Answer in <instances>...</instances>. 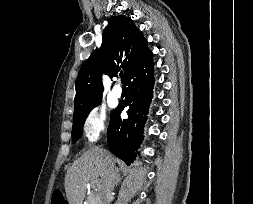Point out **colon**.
I'll use <instances>...</instances> for the list:
<instances>
[{
    "mask_svg": "<svg viewBox=\"0 0 253 204\" xmlns=\"http://www.w3.org/2000/svg\"><path fill=\"white\" fill-rule=\"evenodd\" d=\"M64 196L61 191H54L51 198V204H64Z\"/></svg>",
    "mask_w": 253,
    "mask_h": 204,
    "instance_id": "1",
    "label": "colon"
}]
</instances>
